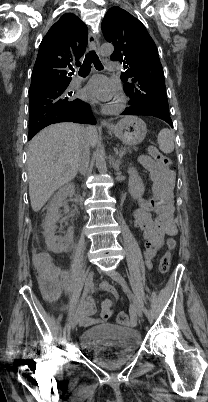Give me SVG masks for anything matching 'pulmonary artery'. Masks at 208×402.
I'll return each instance as SVG.
<instances>
[{"label": "pulmonary artery", "mask_w": 208, "mask_h": 402, "mask_svg": "<svg viewBox=\"0 0 208 402\" xmlns=\"http://www.w3.org/2000/svg\"><path fill=\"white\" fill-rule=\"evenodd\" d=\"M105 65H106V69L108 70V71H115L116 69H117V65H118V62L116 61V60H107L106 62H105ZM76 73L78 74V75H81L82 73H83V70L81 69V68H78L77 70H76Z\"/></svg>", "instance_id": "e3ab8cb5"}]
</instances>
